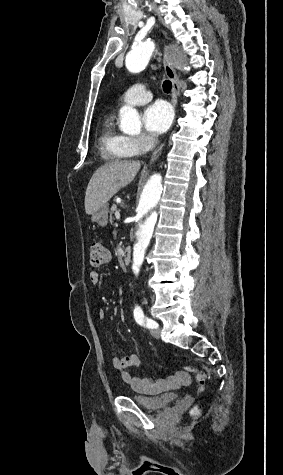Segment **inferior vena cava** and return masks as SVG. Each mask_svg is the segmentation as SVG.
Listing matches in <instances>:
<instances>
[{"mask_svg":"<svg viewBox=\"0 0 283 475\" xmlns=\"http://www.w3.org/2000/svg\"><path fill=\"white\" fill-rule=\"evenodd\" d=\"M150 140H151V142H154V144H156V142H158L157 136H155V134H151Z\"/></svg>","mask_w":283,"mask_h":475,"instance_id":"inferior-vena-cava-1","label":"inferior vena cava"}]
</instances>
